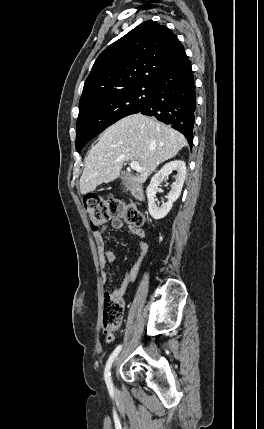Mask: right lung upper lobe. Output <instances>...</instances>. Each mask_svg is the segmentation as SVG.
<instances>
[{"label":"right lung upper lobe","mask_w":264,"mask_h":429,"mask_svg":"<svg viewBox=\"0 0 264 429\" xmlns=\"http://www.w3.org/2000/svg\"><path fill=\"white\" fill-rule=\"evenodd\" d=\"M177 36L148 20L111 44L96 59L79 106L136 84L155 82L184 54Z\"/></svg>","instance_id":"obj_1"}]
</instances>
